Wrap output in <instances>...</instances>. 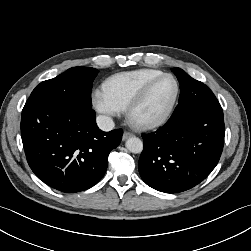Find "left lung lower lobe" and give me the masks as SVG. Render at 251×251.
Segmentation results:
<instances>
[{"label": "left lung lower lobe", "instance_id": "0a47b994", "mask_svg": "<svg viewBox=\"0 0 251 251\" xmlns=\"http://www.w3.org/2000/svg\"><path fill=\"white\" fill-rule=\"evenodd\" d=\"M223 110L203 83L180 92L168 122L142 135L139 173L155 190L178 193L203 181L217 165L224 145Z\"/></svg>", "mask_w": 251, "mask_h": 251}]
</instances>
